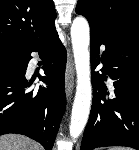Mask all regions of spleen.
Returning <instances> with one entry per match:
<instances>
[{
  "label": "spleen",
  "instance_id": "1",
  "mask_svg": "<svg viewBox=\"0 0 139 150\" xmlns=\"http://www.w3.org/2000/svg\"><path fill=\"white\" fill-rule=\"evenodd\" d=\"M110 150H130L128 148H121V147H115V148H111Z\"/></svg>",
  "mask_w": 139,
  "mask_h": 150
}]
</instances>
